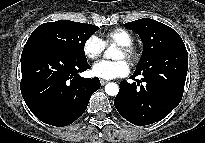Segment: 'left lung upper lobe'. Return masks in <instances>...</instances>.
Returning a JSON list of instances; mask_svg holds the SVG:
<instances>
[{
  "label": "left lung upper lobe",
  "mask_w": 205,
  "mask_h": 143,
  "mask_svg": "<svg viewBox=\"0 0 205 143\" xmlns=\"http://www.w3.org/2000/svg\"><path fill=\"white\" fill-rule=\"evenodd\" d=\"M125 27L139 34L143 42V53L136 70L150 68L167 47L183 42L175 30L150 18L125 23Z\"/></svg>",
  "instance_id": "left-lung-upper-lobe-1"
}]
</instances>
